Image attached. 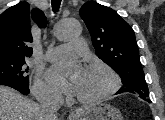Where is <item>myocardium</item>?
I'll return each instance as SVG.
<instances>
[{"label": "myocardium", "instance_id": "1", "mask_svg": "<svg viewBox=\"0 0 165 120\" xmlns=\"http://www.w3.org/2000/svg\"><path fill=\"white\" fill-rule=\"evenodd\" d=\"M87 69L88 70H102V71L106 72L111 79V84H110L109 88L104 93H102L101 95H99L97 97L90 98V99H84V98H80V97L76 96L75 100L79 104H82V105L98 104L100 102L105 101L109 97H111L120 88L121 82H120V77H119L118 73L107 63L92 62V63L87 65Z\"/></svg>", "mask_w": 165, "mask_h": 120}]
</instances>
